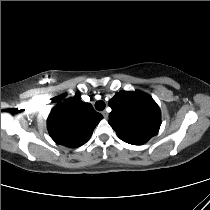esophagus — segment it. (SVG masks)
I'll return each mask as SVG.
<instances>
[{"mask_svg": "<svg viewBox=\"0 0 210 210\" xmlns=\"http://www.w3.org/2000/svg\"><path fill=\"white\" fill-rule=\"evenodd\" d=\"M102 115H103V117L105 118V119H107L108 118V113L104 110V111H102Z\"/></svg>", "mask_w": 210, "mask_h": 210, "instance_id": "34e87169", "label": "esophagus"}]
</instances>
